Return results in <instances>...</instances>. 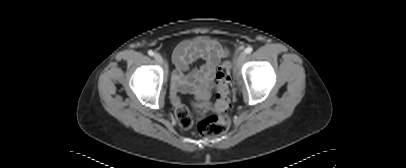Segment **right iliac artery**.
I'll use <instances>...</instances> for the list:
<instances>
[{
  "label": "right iliac artery",
  "instance_id": "obj_1",
  "mask_svg": "<svg viewBox=\"0 0 406 168\" xmlns=\"http://www.w3.org/2000/svg\"><path fill=\"white\" fill-rule=\"evenodd\" d=\"M148 54H149L150 56H154V52H153L152 50H149V51H148Z\"/></svg>",
  "mask_w": 406,
  "mask_h": 168
}]
</instances>
